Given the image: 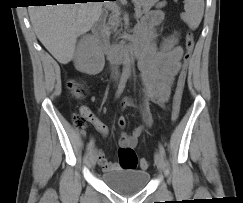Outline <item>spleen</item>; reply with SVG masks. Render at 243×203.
Returning a JSON list of instances; mask_svg holds the SVG:
<instances>
[{
    "label": "spleen",
    "mask_w": 243,
    "mask_h": 203,
    "mask_svg": "<svg viewBox=\"0 0 243 203\" xmlns=\"http://www.w3.org/2000/svg\"><path fill=\"white\" fill-rule=\"evenodd\" d=\"M185 13L181 18L191 29H196L201 23L204 14V0H185Z\"/></svg>",
    "instance_id": "obj_1"
}]
</instances>
